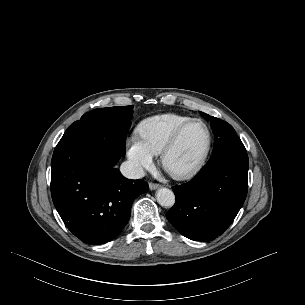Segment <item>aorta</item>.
Masks as SVG:
<instances>
[{"label": "aorta", "mask_w": 305, "mask_h": 305, "mask_svg": "<svg viewBox=\"0 0 305 305\" xmlns=\"http://www.w3.org/2000/svg\"><path fill=\"white\" fill-rule=\"evenodd\" d=\"M156 199L158 203L163 206L170 208L175 203V195L173 191L168 188H160L156 192Z\"/></svg>", "instance_id": "aorta-1"}]
</instances>
